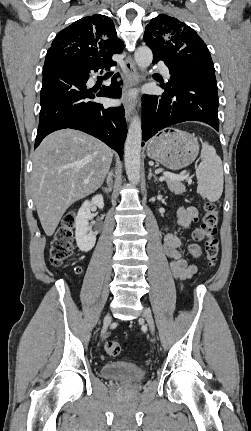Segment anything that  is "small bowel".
<instances>
[{
	"instance_id": "c3829d8e",
	"label": "small bowel",
	"mask_w": 251,
	"mask_h": 431,
	"mask_svg": "<svg viewBox=\"0 0 251 431\" xmlns=\"http://www.w3.org/2000/svg\"><path fill=\"white\" fill-rule=\"evenodd\" d=\"M198 213L194 207H180L177 210L178 224L184 228L189 227L197 221ZM204 233L201 229L197 228L192 232V239L196 243L188 246V252L193 258H199L202 255L201 246L197 243L202 241ZM182 245V239L177 234L171 232L169 229L165 230L163 249L166 256L170 259V268L172 276L178 281H185L191 279L198 271L195 264H189L184 259L179 251ZM76 272L80 273L81 268H76Z\"/></svg>"
}]
</instances>
